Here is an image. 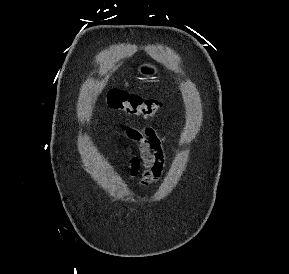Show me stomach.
<instances>
[{
  "mask_svg": "<svg viewBox=\"0 0 289 274\" xmlns=\"http://www.w3.org/2000/svg\"><path fill=\"white\" fill-rule=\"evenodd\" d=\"M139 73L145 78H154L158 73V68L151 63H143L138 68Z\"/></svg>",
  "mask_w": 289,
  "mask_h": 274,
  "instance_id": "stomach-1",
  "label": "stomach"
}]
</instances>
